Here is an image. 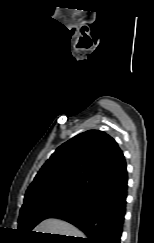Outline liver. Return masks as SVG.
Listing matches in <instances>:
<instances>
[{"mask_svg": "<svg viewBox=\"0 0 154 243\" xmlns=\"http://www.w3.org/2000/svg\"><path fill=\"white\" fill-rule=\"evenodd\" d=\"M34 231L84 238L83 233L76 227L69 224L68 222L54 218H49L42 221L38 226H36Z\"/></svg>", "mask_w": 154, "mask_h": 243, "instance_id": "obj_1", "label": "liver"}]
</instances>
